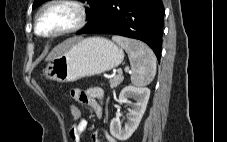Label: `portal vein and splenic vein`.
Here are the masks:
<instances>
[{"mask_svg": "<svg viewBox=\"0 0 227 142\" xmlns=\"http://www.w3.org/2000/svg\"><path fill=\"white\" fill-rule=\"evenodd\" d=\"M125 71L129 72V68H125ZM119 74H122V71H120Z\"/></svg>", "mask_w": 227, "mask_h": 142, "instance_id": "obj_1", "label": "portal vein and splenic vein"}]
</instances>
